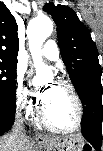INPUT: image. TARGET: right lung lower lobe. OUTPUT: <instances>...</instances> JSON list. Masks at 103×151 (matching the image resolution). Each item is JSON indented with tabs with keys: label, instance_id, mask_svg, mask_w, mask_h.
<instances>
[{
	"label": "right lung lower lobe",
	"instance_id": "obj_1",
	"mask_svg": "<svg viewBox=\"0 0 103 151\" xmlns=\"http://www.w3.org/2000/svg\"><path fill=\"white\" fill-rule=\"evenodd\" d=\"M16 109L0 105V135L8 131L15 121Z\"/></svg>",
	"mask_w": 103,
	"mask_h": 151
}]
</instances>
